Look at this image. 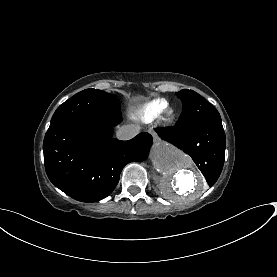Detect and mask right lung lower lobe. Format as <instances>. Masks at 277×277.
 Listing matches in <instances>:
<instances>
[{
	"instance_id": "right-lung-lower-lobe-1",
	"label": "right lung lower lobe",
	"mask_w": 277,
	"mask_h": 277,
	"mask_svg": "<svg viewBox=\"0 0 277 277\" xmlns=\"http://www.w3.org/2000/svg\"><path fill=\"white\" fill-rule=\"evenodd\" d=\"M121 115L76 118L48 129L43 143L50 181L70 197L96 202L115 189L123 167L148 157L152 139L140 133L128 141L112 137Z\"/></svg>"
}]
</instances>
